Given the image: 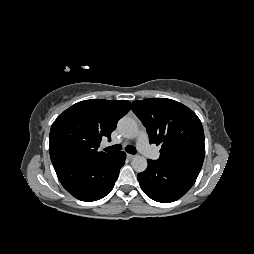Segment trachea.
<instances>
[{"instance_id":"obj_1","label":"trachea","mask_w":254,"mask_h":254,"mask_svg":"<svg viewBox=\"0 0 254 254\" xmlns=\"http://www.w3.org/2000/svg\"><path fill=\"white\" fill-rule=\"evenodd\" d=\"M104 150L109 153L118 152L121 150V146L120 145H113V146H109V147L105 148ZM126 151L130 154H135L137 152V150L133 146H127Z\"/></svg>"}]
</instances>
